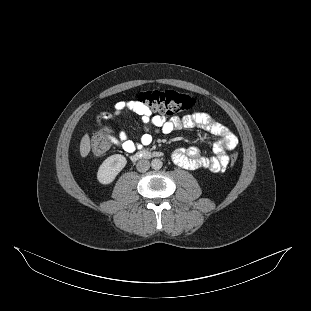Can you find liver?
Returning a JSON list of instances; mask_svg holds the SVG:
<instances>
[{
  "instance_id": "6515ba94",
  "label": "liver",
  "mask_w": 311,
  "mask_h": 311,
  "mask_svg": "<svg viewBox=\"0 0 311 311\" xmlns=\"http://www.w3.org/2000/svg\"><path fill=\"white\" fill-rule=\"evenodd\" d=\"M80 151L83 157L87 156L90 151V142L87 135H85L81 141Z\"/></svg>"
}]
</instances>
